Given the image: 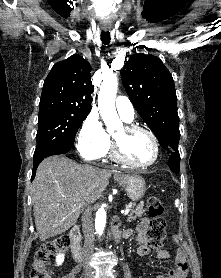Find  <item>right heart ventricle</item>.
<instances>
[{
  "label": "right heart ventricle",
  "mask_w": 221,
  "mask_h": 278,
  "mask_svg": "<svg viewBox=\"0 0 221 278\" xmlns=\"http://www.w3.org/2000/svg\"><path fill=\"white\" fill-rule=\"evenodd\" d=\"M107 152H108V150H107ZM107 152H106V153H107ZM106 153H105V154H106ZM111 157H114V156L111 155Z\"/></svg>",
  "instance_id": "1"
}]
</instances>
